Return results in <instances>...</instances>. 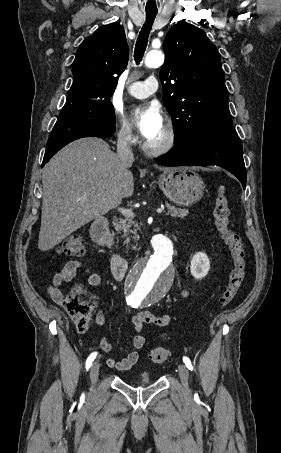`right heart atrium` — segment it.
Returning <instances> with one entry per match:
<instances>
[{
  "mask_svg": "<svg viewBox=\"0 0 281 453\" xmlns=\"http://www.w3.org/2000/svg\"><path fill=\"white\" fill-rule=\"evenodd\" d=\"M118 142L125 147L133 146L137 139V131L135 126L124 117H119L113 122ZM113 173L127 172L124 165L115 157L110 159L108 166Z\"/></svg>",
  "mask_w": 281,
  "mask_h": 453,
  "instance_id": "1",
  "label": "right heart atrium"
}]
</instances>
